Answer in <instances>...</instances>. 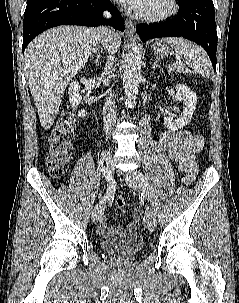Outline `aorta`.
Instances as JSON below:
<instances>
[{
  "instance_id": "1",
  "label": "aorta",
  "mask_w": 239,
  "mask_h": 303,
  "mask_svg": "<svg viewBox=\"0 0 239 303\" xmlns=\"http://www.w3.org/2000/svg\"><path fill=\"white\" fill-rule=\"evenodd\" d=\"M142 47L139 44L129 51L125 59L123 86L125 94V104L128 108H133L136 102L141 80Z\"/></svg>"
}]
</instances>
